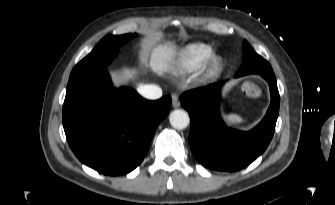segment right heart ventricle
I'll use <instances>...</instances> for the list:
<instances>
[{"mask_svg":"<svg viewBox=\"0 0 335 205\" xmlns=\"http://www.w3.org/2000/svg\"><path fill=\"white\" fill-rule=\"evenodd\" d=\"M213 47L206 43H191L177 54L175 67L180 72H191L201 67L213 54Z\"/></svg>","mask_w":335,"mask_h":205,"instance_id":"1","label":"right heart ventricle"}]
</instances>
